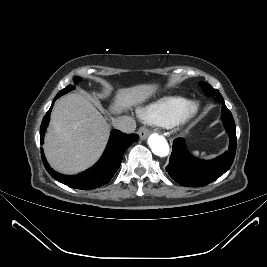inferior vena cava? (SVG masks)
Here are the masks:
<instances>
[{
  "mask_svg": "<svg viewBox=\"0 0 267 267\" xmlns=\"http://www.w3.org/2000/svg\"><path fill=\"white\" fill-rule=\"evenodd\" d=\"M114 128L124 132V133H132L136 129V122L130 116H120L115 118L113 121Z\"/></svg>",
  "mask_w": 267,
  "mask_h": 267,
  "instance_id": "inferior-vena-cava-1",
  "label": "inferior vena cava"
}]
</instances>
